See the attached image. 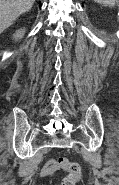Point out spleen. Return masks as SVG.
I'll return each instance as SVG.
<instances>
[{
  "label": "spleen",
  "mask_w": 119,
  "mask_h": 185,
  "mask_svg": "<svg viewBox=\"0 0 119 185\" xmlns=\"http://www.w3.org/2000/svg\"><path fill=\"white\" fill-rule=\"evenodd\" d=\"M94 1L103 6H109V7H114L116 3V0H94Z\"/></svg>",
  "instance_id": "spleen-1"
}]
</instances>
